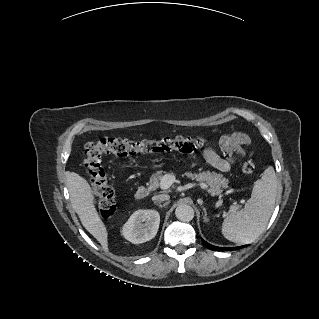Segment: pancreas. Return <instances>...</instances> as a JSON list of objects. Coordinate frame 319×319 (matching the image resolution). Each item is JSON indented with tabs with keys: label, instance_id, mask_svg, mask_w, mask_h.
I'll return each instance as SVG.
<instances>
[{
	"label": "pancreas",
	"instance_id": "cf45deb5",
	"mask_svg": "<svg viewBox=\"0 0 319 319\" xmlns=\"http://www.w3.org/2000/svg\"><path fill=\"white\" fill-rule=\"evenodd\" d=\"M164 176L163 171H157L150 178V189H156L160 186V180ZM186 176L195 179L198 182H206L209 185L208 192L215 196L221 193V188L228 187V179L222 174L215 172L203 171L198 173H187Z\"/></svg>",
	"mask_w": 319,
	"mask_h": 319
}]
</instances>
